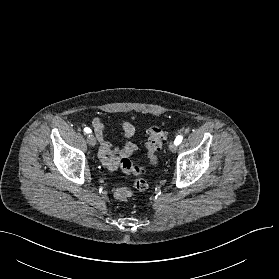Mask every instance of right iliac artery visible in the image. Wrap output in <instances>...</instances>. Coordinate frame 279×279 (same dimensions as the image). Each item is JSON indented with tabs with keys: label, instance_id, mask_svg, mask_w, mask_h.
Returning a JSON list of instances; mask_svg holds the SVG:
<instances>
[{
	"label": "right iliac artery",
	"instance_id": "82829eb1",
	"mask_svg": "<svg viewBox=\"0 0 279 279\" xmlns=\"http://www.w3.org/2000/svg\"><path fill=\"white\" fill-rule=\"evenodd\" d=\"M84 132L87 133V134H89V133H91V129L88 128V127H86V128H84Z\"/></svg>",
	"mask_w": 279,
	"mask_h": 279
}]
</instances>
